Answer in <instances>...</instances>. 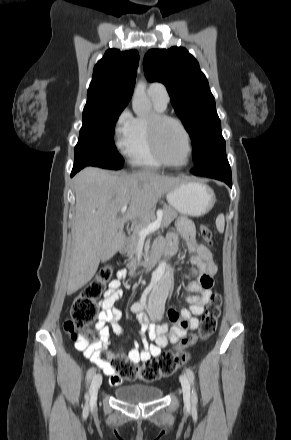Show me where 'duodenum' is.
Segmentation results:
<instances>
[{"label": "duodenum", "instance_id": "duodenum-1", "mask_svg": "<svg viewBox=\"0 0 291 440\" xmlns=\"http://www.w3.org/2000/svg\"><path fill=\"white\" fill-rule=\"evenodd\" d=\"M121 236H117L116 240H121ZM159 257V254L155 251H151L148 255L145 256L143 262L140 264V267L133 269L130 272V275L134 276L137 275L139 272L144 271L148 272L152 269L154 264L156 263L157 259Z\"/></svg>", "mask_w": 291, "mask_h": 440}]
</instances>
